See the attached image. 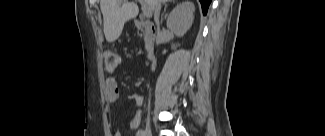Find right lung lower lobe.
<instances>
[{"label": "right lung lower lobe", "mask_w": 325, "mask_h": 136, "mask_svg": "<svg viewBox=\"0 0 325 136\" xmlns=\"http://www.w3.org/2000/svg\"><path fill=\"white\" fill-rule=\"evenodd\" d=\"M202 6L203 14L206 15L211 0H199Z\"/></svg>", "instance_id": "obj_1"}]
</instances>
